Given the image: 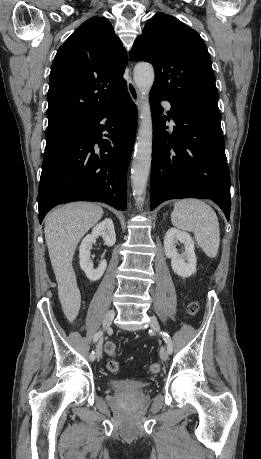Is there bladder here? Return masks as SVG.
Masks as SVG:
<instances>
[{
    "label": "bladder",
    "instance_id": "1",
    "mask_svg": "<svg viewBox=\"0 0 261 459\" xmlns=\"http://www.w3.org/2000/svg\"><path fill=\"white\" fill-rule=\"evenodd\" d=\"M109 385L113 390L123 393H135L144 389V384L134 379H113Z\"/></svg>",
    "mask_w": 261,
    "mask_h": 459
}]
</instances>
